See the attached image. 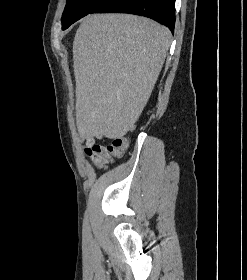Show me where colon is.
Listing matches in <instances>:
<instances>
[{"label": "colon", "instance_id": "obj_1", "mask_svg": "<svg viewBox=\"0 0 247 280\" xmlns=\"http://www.w3.org/2000/svg\"><path fill=\"white\" fill-rule=\"evenodd\" d=\"M127 146V141L123 138L114 139L109 145H95L88 155L98 167L105 166L112 158L123 154Z\"/></svg>", "mask_w": 247, "mask_h": 280}]
</instances>
